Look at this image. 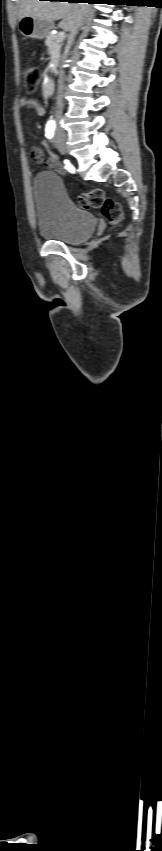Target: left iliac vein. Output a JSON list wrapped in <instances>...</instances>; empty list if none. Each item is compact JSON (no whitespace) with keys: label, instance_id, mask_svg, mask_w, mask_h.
<instances>
[{"label":"left iliac vein","instance_id":"left-iliac-vein-1","mask_svg":"<svg viewBox=\"0 0 162 851\" xmlns=\"http://www.w3.org/2000/svg\"><path fill=\"white\" fill-rule=\"evenodd\" d=\"M58 149H59V151H60V153H61V154H64V153H65V151L63 150V148H62V146H61L60 144H58Z\"/></svg>","mask_w":162,"mask_h":851}]
</instances>
